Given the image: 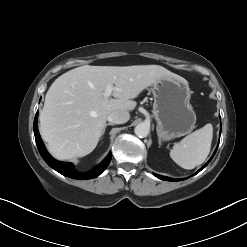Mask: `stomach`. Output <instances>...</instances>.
<instances>
[{
  "instance_id": "stomach-1",
  "label": "stomach",
  "mask_w": 247,
  "mask_h": 247,
  "mask_svg": "<svg viewBox=\"0 0 247 247\" xmlns=\"http://www.w3.org/2000/svg\"><path fill=\"white\" fill-rule=\"evenodd\" d=\"M153 114L158 135L165 141L190 133L196 114L190 105V88L182 77L163 76L153 84Z\"/></svg>"
}]
</instances>
